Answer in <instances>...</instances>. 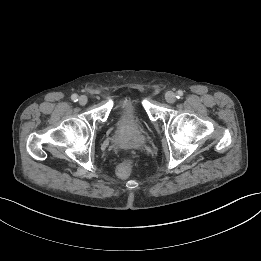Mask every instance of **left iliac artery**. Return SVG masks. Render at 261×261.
Instances as JSON below:
<instances>
[{
    "mask_svg": "<svg viewBox=\"0 0 261 261\" xmlns=\"http://www.w3.org/2000/svg\"><path fill=\"white\" fill-rule=\"evenodd\" d=\"M176 94H177L176 97H177L178 99H180V98H182V96H183V91L179 90V91H177Z\"/></svg>",
    "mask_w": 261,
    "mask_h": 261,
    "instance_id": "obj_1",
    "label": "left iliac artery"
}]
</instances>
